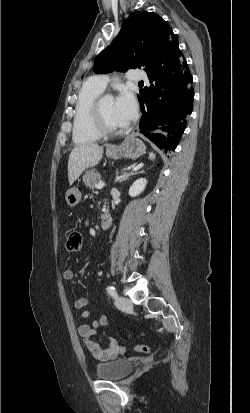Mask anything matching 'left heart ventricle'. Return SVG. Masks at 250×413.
Returning <instances> with one entry per match:
<instances>
[{
  "label": "left heart ventricle",
  "instance_id": "obj_1",
  "mask_svg": "<svg viewBox=\"0 0 250 413\" xmlns=\"http://www.w3.org/2000/svg\"><path fill=\"white\" fill-rule=\"evenodd\" d=\"M103 113L109 125L113 127H122L119 122L115 109V100L112 97H107L102 103Z\"/></svg>",
  "mask_w": 250,
  "mask_h": 413
}]
</instances>
